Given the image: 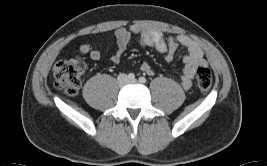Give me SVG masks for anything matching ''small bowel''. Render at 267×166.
Wrapping results in <instances>:
<instances>
[{
  "label": "small bowel",
  "instance_id": "small-bowel-1",
  "mask_svg": "<svg viewBox=\"0 0 267 166\" xmlns=\"http://www.w3.org/2000/svg\"><path fill=\"white\" fill-rule=\"evenodd\" d=\"M133 35L139 37V42L142 46L154 49L168 62L173 60L175 51L179 45L184 47L186 54L183 56L184 67L180 82L185 90H189L192 87L196 68L205 64L201 48L192 39L186 35L165 38L159 30L148 29L139 25H133L129 29L121 28L114 33V39L117 45V50L112 56L114 63L120 62ZM79 51L93 61H98L101 58L100 50L88 43L80 45ZM140 69L148 75L154 74L153 68L148 63H143Z\"/></svg>",
  "mask_w": 267,
  "mask_h": 166
}]
</instances>
